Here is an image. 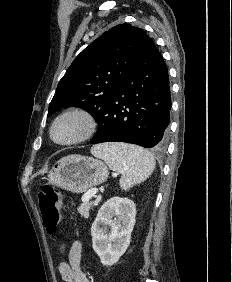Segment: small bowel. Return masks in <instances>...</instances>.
Listing matches in <instances>:
<instances>
[{
    "label": "small bowel",
    "mask_w": 232,
    "mask_h": 282,
    "mask_svg": "<svg viewBox=\"0 0 232 282\" xmlns=\"http://www.w3.org/2000/svg\"><path fill=\"white\" fill-rule=\"evenodd\" d=\"M60 253L66 252V245L60 246ZM82 244L74 241L67 253V260H62L59 264V272L64 282H91L86 273L81 268Z\"/></svg>",
    "instance_id": "obj_1"
}]
</instances>
